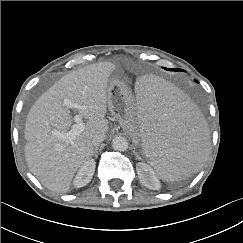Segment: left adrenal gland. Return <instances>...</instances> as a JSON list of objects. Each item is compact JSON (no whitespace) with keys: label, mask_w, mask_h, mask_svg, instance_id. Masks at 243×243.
Listing matches in <instances>:
<instances>
[{"label":"left adrenal gland","mask_w":243,"mask_h":243,"mask_svg":"<svg viewBox=\"0 0 243 243\" xmlns=\"http://www.w3.org/2000/svg\"><path fill=\"white\" fill-rule=\"evenodd\" d=\"M133 152H134V155H135V157H136L137 159H141L140 156L138 155V153L135 152V150H134Z\"/></svg>","instance_id":"a2214340"}]
</instances>
